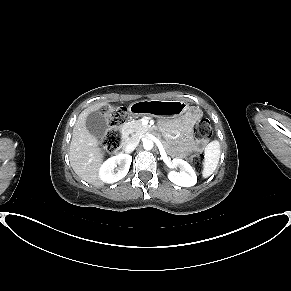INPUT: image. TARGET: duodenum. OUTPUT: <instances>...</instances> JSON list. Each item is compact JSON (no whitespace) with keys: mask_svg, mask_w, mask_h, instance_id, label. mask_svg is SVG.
<instances>
[{"mask_svg":"<svg viewBox=\"0 0 291 291\" xmlns=\"http://www.w3.org/2000/svg\"><path fill=\"white\" fill-rule=\"evenodd\" d=\"M126 143H127V141L125 139H123V143H120L118 145V148L116 149V152L118 154H121L124 151Z\"/></svg>","mask_w":291,"mask_h":291,"instance_id":"obj_1","label":"duodenum"}]
</instances>
